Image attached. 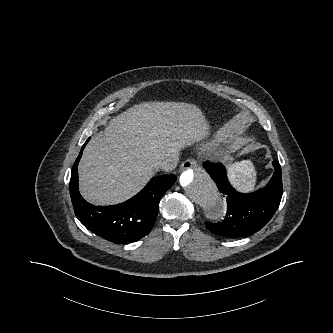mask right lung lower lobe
<instances>
[{
    "mask_svg": "<svg viewBox=\"0 0 333 333\" xmlns=\"http://www.w3.org/2000/svg\"><path fill=\"white\" fill-rule=\"evenodd\" d=\"M90 137L82 146L71 172L70 196L79 221L90 231L114 243L137 241L148 234L157 218L159 202L175 183V175L152 178L137 195L114 206H94L86 202L78 190V162Z\"/></svg>",
    "mask_w": 333,
    "mask_h": 333,
    "instance_id": "right-lung-lower-lobe-1",
    "label": "right lung lower lobe"
}]
</instances>
